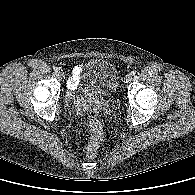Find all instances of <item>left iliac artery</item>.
I'll return each mask as SVG.
<instances>
[{"label":"left iliac artery","instance_id":"obj_1","mask_svg":"<svg viewBox=\"0 0 195 195\" xmlns=\"http://www.w3.org/2000/svg\"><path fill=\"white\" fill-rule=\"evenodd\" d=\"M135 74H136V72H135V71H132V72H131V75H132V76H134Z\"/></svg>","mask_w":195,"mask_h":195}]
</instances>
